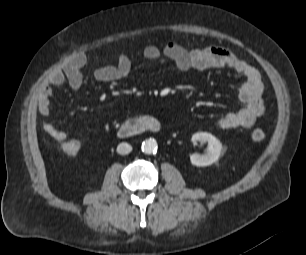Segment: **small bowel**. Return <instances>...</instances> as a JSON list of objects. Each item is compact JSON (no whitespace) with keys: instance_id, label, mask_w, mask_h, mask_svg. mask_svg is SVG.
I'll use <instances>...</instances> for the list:
<instances>
[{"instance_id":"1","label":"small bowel","mask_w":306,"mask_h":255,"mask_svg":"<svg viewBox=\"0 0 306 255\" xmlns=\"http://www.w3.org/2000/svg\"><path fill=\"white\" fill-rule=\"evenodd\" d=\"M143 56L149 61L159 63L171 61L182 73L191 70L228 69L243 75L244 82L238 93L243 107L219 117L216 125L220 129L249 128L264 113L263 85L258 71L227 48L209 45L187 49L179 43L169 42L162 49L155 45L146 46L143 50ZM86 62V56L78 54L48 77L36 98L38 111L42 116H48L50 113V98L53 88L68 83L74 92L80 90L83 85L82 69ZM131 69L130 57L121 53L117 56L115 64L96 68L93 71V77L100 82H114L127 77ZM193 125V122H188L189 127ZM42 128L46 134L57 141H63L67 138L65 131L56 128L50 122H44Z\"/></svg>"}]
</instances>
